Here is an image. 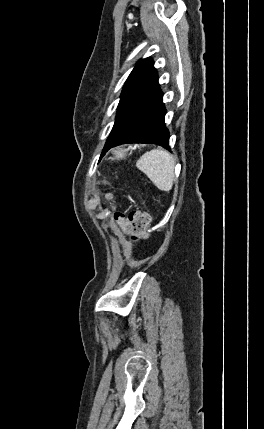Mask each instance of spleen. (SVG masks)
<instances>
[{
  "label": "spleen",
  "mask_w": 264,
  "mask_h": 429,
  "mask_svg": "<svg viewBox=\"0 0 264 429\" xmlns=\"http://www.w3.org/2000/svg\"><path fill=\"white\" fill-rule=\"evenodd\" d=\"M136 166L159 190L169 192L172 189L175 161L169 152L161 149L146 152L137 160Z\"/></svg>",
  "instance_id": "3e777b00"
}]
</instances>
